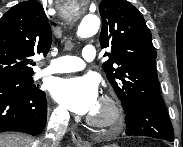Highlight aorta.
Segmentation results:
<instances>
[{
  "mask_svg": "<svg viewBox=\"0 0 183 147\" xmlns=\"http://www.w3.org/2000/svg\"><path fill=\"white\" fill-rule=\"evenodd\" d=\"M100 27V19L96 15H86L80 22L77 35L81 38H88L95 34Z\"/></svg>",
  "mask_w": 183,
  "mask_h": 147,
  "instance_id": "1",
  "label": "aorta"
}]
</instances>
